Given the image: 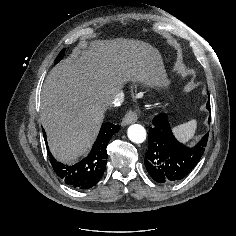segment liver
I'll use <instances>...</instances> for the list:
<instances>
[{"label": "liver", "mask_w": 236, "mask_h": 236, "mask_svg": "<svg viewBox=\"0 0 236 236\" xmlns=\"http://www.w3.org/2000/svg\"><path fill=\"white\" fill-rule=\"evenodd\" d=\"M165 75L159 51L143 41L95 40L75 51L50 71L42 88L41 121L51 153L64 163L86 154L123 85L158 86Z\"/></svg>", "instance_id": "6515ba94"}]
</instances>
